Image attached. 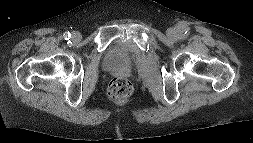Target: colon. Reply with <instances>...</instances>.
<instances>
[{"label":"colon","mask_w":253,"mask_h":143,"mask_svg":"<svg viewBox=\"0 0 253 143\" xmlns=\"http://www.w3.org/2000/svg\"><path fill=\"white\" fill-rule=\"evenodd\" d=\"M131 91V83L125 77H115L108 85V95L114 100L127 98Z\"/></svg>","instance_id":"1"}]
</instances>
